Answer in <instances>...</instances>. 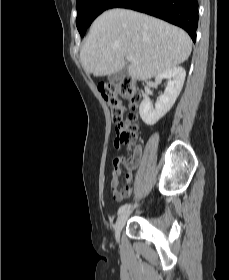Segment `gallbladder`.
I'll list each match as a JSON object with an SVG mask.
<instances>
[{
	"mask_svg": "<svg viewBox=\"0 0 229 280\" xmlns=\"http://www.w3.org/2000/svg\"><path fill=\"white\" fill-rule=\"evenodd\" d=\"M127 74H128L127 68L124 67L118 72L109 75L108 80L111 82H119L122 81L124 77L127 76Z\"/></svg>",
	"mask_w": 229,
	"mask_h": 280,
	"instance_id": "1",
	"label": "gallbladder"
}]
</instances>
